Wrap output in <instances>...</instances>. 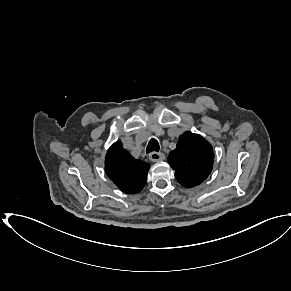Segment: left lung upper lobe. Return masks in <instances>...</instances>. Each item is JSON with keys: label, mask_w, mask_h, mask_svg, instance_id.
I'll return each instance as SVG.
<instances>
[{"label": "left lung upper lobe", "mask_w": 291, "mask_h": 291, "mask_svg": "<svg viewBox=\"0 0 291 291\" xmlns=\"http://www.w3.org/2000/svg\"><path fill=\"white\" fill-rule=\"evenodd\" d=\"M213 161L211 144L192 132L180 136L176 149L168 157L176 179L186 188L201 184L211 173Z\"/></svg>", "instance_id": "obj_1"}]
</instances>
